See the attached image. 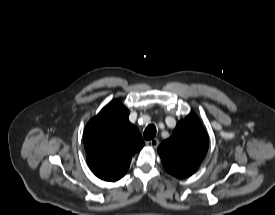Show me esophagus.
<instances>
[{
  "label": "esophagus",
  "instance_id": "34e87169",
  "mask_svg": "<svg viewBox=\"0 0 275 215\" xmlns=\"http://www.w3.org/2000/svg\"><path fill=\"white\" fill-rule=\"evenodd\" d=\"M146 145L152 148H157L159 145V140L155 138V139L146 141Z\"/></svg>",
  "mask_w": 275,
  "mask_h": 215
}]
</instances>
